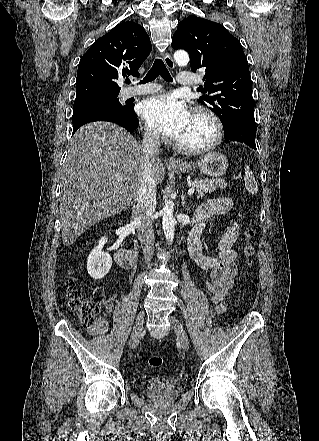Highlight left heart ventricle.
Masks as SVG:
<instances>
[{"instance_id":"obj_1","label":"left heart ventricle","mask_w":319,"mask_h":441,"mask_svg":"<svg viewBox=\"0 0 319 441\" xmlns=\"http://www.w3.org/2000/svg\"><path fill=\"white\" fill-rule=\"evenodd\" d=\"M212 136V127L210 123L203 117L192 116L191 120L177 139L178 142L195 146L206 143Z\"/></svg>"}]
</instances>
